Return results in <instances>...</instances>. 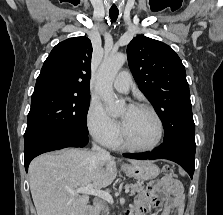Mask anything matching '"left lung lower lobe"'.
I'll list each match as a JSON object with an SVG mask.
<instances>
[{"label":"left lung lower lobe","instance_id":"obj_1","mask_svg":"<svg viewBox=\"0 0 223 215\" xmlns=\"http://www.w3.org/2000/svg\"><path fill=\"white\" fill-rule=\"evenodd\" d=\"M196 144L194 138H175L164 141L151 152L126 153L124 157L140 160L167 159L178 163L193 177Z\"/></svg>","mask_w":223,"mask_h":215}]
</instances>
